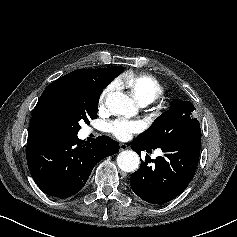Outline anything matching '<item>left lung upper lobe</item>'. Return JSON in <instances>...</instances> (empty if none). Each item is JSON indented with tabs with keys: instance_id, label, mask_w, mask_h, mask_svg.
<instances>
[{
	"instance_id": "left-lung-upper-lobe-1",
	"label": "left lung upper lobe",
	"mask_w": 237,
	"mask_h": 237,
	"mask_svg": "<svg viewBox=\"0 0 237 237\" xmlns=\"http://www.w3.org/2000/svg\"><path fill=\"white\" fill-rule=\"evenodd\" d=\"M195 107L190 101L176 100L172 108L159 116L153 125L136 139L155 149L178 141L193 125Z\"/></svg>"
}]
</instances>
